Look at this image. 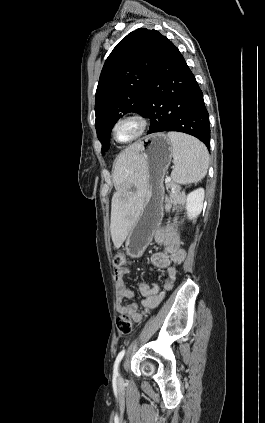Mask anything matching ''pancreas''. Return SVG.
<instances>
[{"label": "pancreas", "instance_id": "cf45deb5", "mask_svg": "<svg viewBox=\"0 0 265 423\" xmlns=\"http://www.w3.org/2000/svg\"><path fill=\"white\" fill-rule=\"evenodd\" d=\"M168 186L172 189V191L169 197H165V202L167 203L168 207L173 206L174 208H177V206L181 203L180 188L175 186L173 183H170Z\"/></svg>", "mask_w": 265, "mask_h": 423}]
</instances>
